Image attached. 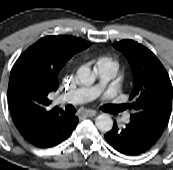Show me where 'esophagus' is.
Masks as SVG:
<instances>
[{
  "mask_svg": "<svg viewBox=\"0 0 173 170\" xmlns=\"http://www.w3.org/2000/svg\"><path fill=\"white\" fill-rule=\"evenodd\" d=\"M83 114L88 117H93L97 115V112L94 110H86Z\"/></svg>",
  "mask_w": 173,
  "mask_h": 170,
  "instance_id": "34e87169",
  "label": "esophagus"
}]
</instances>
